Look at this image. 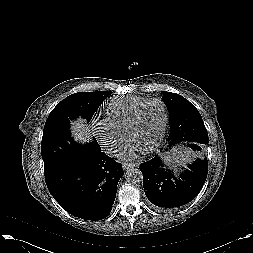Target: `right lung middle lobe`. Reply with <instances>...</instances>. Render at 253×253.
<instances>
[{"label": "right lung middle lobe", "mask_w": 253, "mask_h": 253, "mask_svg": "<svg viewBox=\"0 0 253 253\" xmlns=\"http://www.w3.org/2000/svg\"><path fill=\"white\" fill-rule=\"evenodd\" d=\"M110 94L112 92L108 91L75 93L56 105L49 114L43 131L41 154L44 169L72 162L85 155L87 151L99 148L95 138L86 144L74 141L69 129L70 123L79 116L89 122Z\"/></svg>", "instance_id": "obj_1"}]
</instances>
